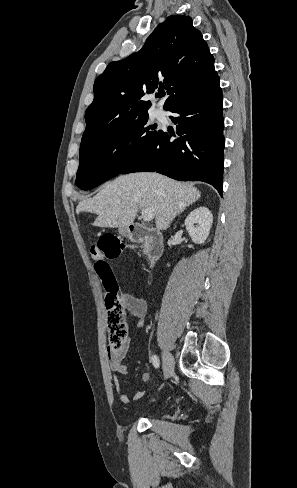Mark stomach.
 Here are the masks:
<instances>
[{
	"label": "stomach",
	"instance_id": "obj_1",
	"mask_svg": "<svg viewBox=\"0 0 297 488\" xmlns=\"http://www.w3.org/2000/svg\"><path fill=\"white\" fill-rule=\"evenodd\" d=\"M120 233L123 234V235H126L127 234V229L126 228H123L120 230Z\"/></svg>",
	"mask_w": 297,
	"mask_h": 488
}]
</instances>
